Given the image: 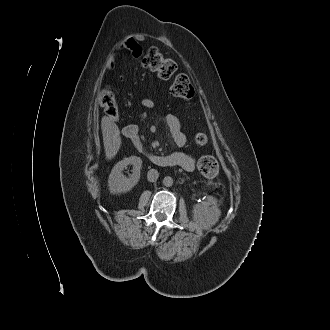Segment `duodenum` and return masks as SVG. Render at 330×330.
Returning <instances> with one entry per match:
<instances>
[{
    "mask_svg": "<svg viewBox=\"0 0 330 330\" xmlns=\"http://www.w3.org/2000/svg\"><path fill=\"white\" fill-rule=\"evenodd\" d=\"M131 126L125 128V136L128 139H136L137 138V131H131ZM130 132V133H129ZM138 142V141H137ZM150 159L157 165L160 166H172L166 156L162 155H150Z\"/></svg>",
    "mask_w": 330,
    "mask_h": 330,
    "instance_id": "1",
    "label": "duodenum"
}]
</instances>
